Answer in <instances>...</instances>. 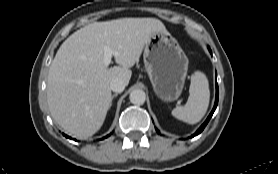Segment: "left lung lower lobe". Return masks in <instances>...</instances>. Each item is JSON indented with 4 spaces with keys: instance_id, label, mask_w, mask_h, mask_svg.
I'll return each instance as SVG.
<instances>
[{
    "instance_id": "0a47b994",
    "label": "left lung lower lobe",
    "mask_w": 278,
    "mask_h": 174,
    "mask_svg": "<svg viewBox=\"0 0 278 174\" xmlns=\"http://www.w3.org/2000/svg\"><path fill=\"white\" fill-rule=\"evenodd\" d=\"M218 95H219V91H218V84L216 82V100H215V104H214V107L211 111V113L209 114L208 118L206 119V121L201 125V127L192 135V137L200 134L203 129L205 128V126L207 125V123L209 122L210 118L212 117L216 107H217V104H218ZM157 130V129H156ZM159 133V131H157Z\"/></svg>"
}]
</instances>
